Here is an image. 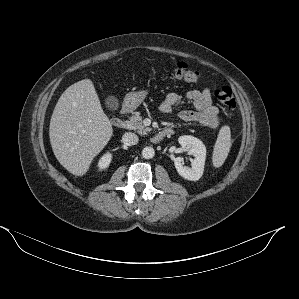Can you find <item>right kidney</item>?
<instances>
[{"mask_svg": "<svg viewBox=\"0 0 299 299\" xmlns=\"http://www.w3.org/2000/svg\"><path fill=\"white\" fill-rule=\"evenodd\" d=\"M111 159H112L111 153L107 152L106 154H104L98 162L99 169L100 170L106 169L109 166Z\"/></svg>", "mask_w": 299, "mask_h": 299, "instance_id": "ca27d5eb", "label": "right kidney"}]
</instances>
